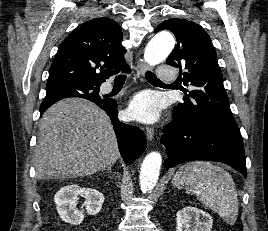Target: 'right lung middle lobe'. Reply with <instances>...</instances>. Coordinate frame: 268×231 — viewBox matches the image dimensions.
<instances>
[{"label":"right lung middle lobe","mask_w":268,"mask_h":231,"mask_svg":"<svg viewBox=\"0 0 268 231\" xmlns=\"http://www.w3.org/2000/svg\"><path fill=\"white\" fill-rule=\"evenodd\" d=\"M100 86L79 82V81H59L48 83L46 87V97L43 101H58L65 97H81L85 99L100 98Z\"/></svg>","instance_id":"dd1d6c3e"}]
</instances>
